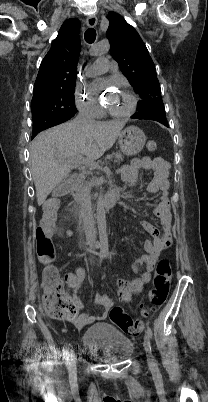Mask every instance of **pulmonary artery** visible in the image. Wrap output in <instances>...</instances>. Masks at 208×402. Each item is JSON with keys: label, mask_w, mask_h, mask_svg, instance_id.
I'll list each match as a JSON object with an SVG mask.
<instances>
[{"label": "pulmonary artery", "mask_w": 208, "mask_h": 402, "mask_svg": "<svg viewBox=\"0 0 208 402\" xmlns=\"http://www.w3.org/2000/svg\"><path fill=\"white\" fill-rule=\"evenodd\" d=\"M97 55H100L101 53H95ZM106 60H97L95 61L90 67L88 68V72L90 74H102L107 71V68L105 66Z\"/></svg>", "instance_id": "1"}]
</instances>
